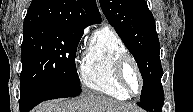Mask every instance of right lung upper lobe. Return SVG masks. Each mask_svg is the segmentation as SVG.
Segmentation results:
<instances>
[{
	"label": "right lung upper lobe",
	"mask_w": 193,
	"mask_h": 112,
	"mask_svg": "<svg viewBox=\"0 0 193 112\" xmlns=\"http://www.w3.org/2000/svg\"><path fill=\"white\" fill-rule=\"evenodd\" d=\"M101 22L95 0H32L23 31L39 27L83 30Z\"/></svg>",
	"instance_id": "cb5924a9"
}]
</instances>
